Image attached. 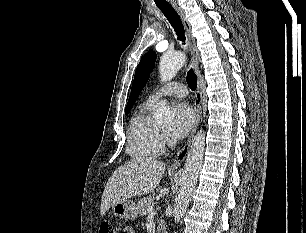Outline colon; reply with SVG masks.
<instances>
[{
	"mask_svg": "<svg viewBox=\"0 0 306 233\" xmlns=\"http://www.w3.org/2000/svg\"><path fill=\"white\" fill-rule=\"evenodd\" d=\"M99 233H116L114 227L110 223H103L100 226ZM124 233H133V230H127Z\"/></svg>",
	"mask_w": 306,
	"mask_h": 233,
	"instance_id": "colon-1",
	"label": "colon"
}]
</instances>
